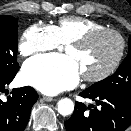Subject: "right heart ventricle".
Instances as JSON below:
<instances>
[{
  "mask_svg": "<svg viewBox=\"0 0 131 131\" xmlns=\"http://www.w3.org/2000/svg\"><path fill=\"white\" fill-rule=\"evenodd\" d=\"M53 27L60 44H68L89 31L104 28L105 26L89 18L65 17L61 18Z\"/></svg>",
  "mask_w": 131,
  "mask_h": 131,
  "instance_id": "1",
  "label": "right heart ventricle"
}]
</instances>
